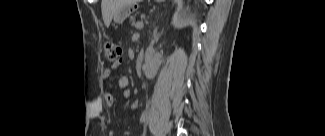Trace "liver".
Instances as JSON below:
<instances>
[{"label":"liver","mask_w":325,"mask_h":136,"mask_svg":"<svg viewBox=\"0 0 325 136\" xmlns=\"http://www.w3.org/2000/svg\"><path fill=\"white\" fill-rule=\"evenodd\" d=\"M137 0H102V17L106 27H109L114 14L125 5L134 4Z\"/></svg>","instance_id":"1"}]
</instances>
